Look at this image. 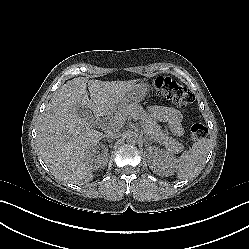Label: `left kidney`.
I'll return each instance as SVG.
<instances>
[{"mask_svg": "<svg viewBox=\"0 0 249 249\" xmlns=\"http://www.w3.org/2000/svg\"><path fill=\"white\" fill-rule=\"evenodd\" d=\"M156 157L157 158H159V159H162L163 158V156L166 154L165 152H163L162 150H158V149H156ZM163 163V162H162ZM163 167H165L166 168V166L164 165V163H163V165H162Z\"/></svg>", "mask_w": 249, "mask_h": 249, "instance_id": "left-kidney-1", "label": "left kidney"}]
</instances>
